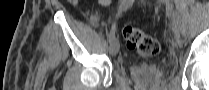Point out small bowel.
Returning a JSON list of instances; mask_svg holds the SVG:
<instances>
[{
    "label": "small bowel",
    "mask_w": 209,
    "mask_h": 90,
    "mask_svg": "<svg viewBox=\"0 0 209 90\" xmlns=\"http://www.w3.org/2000/svg\"><path fill=\"white\" fill-rule=\"evenodd\" d=\"M100 4L101 5H104V6L105 5H108L109 4V1H107V0H100ZM90 18L93 21H97L99 19V16H97V15H91Z\"/></svg>",
    "instance_id": "small-bowel-1"
}]
</instances>
